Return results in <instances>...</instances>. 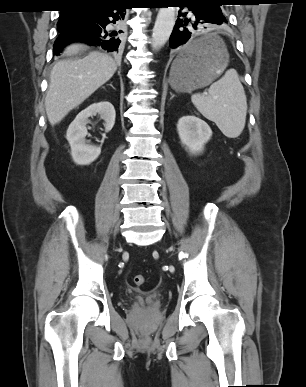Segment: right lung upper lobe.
<instances>
[{
	"label": "right lung upper lobe",
	"mask_w": 306,
	"mask_h": 387,
	"mask_svg": "<svg viewBox=\"0 0 306 387\" xmlns=\"http://www.w3.org/2000/svg\"><path fill=\"white\" fill-rule=\"evenodd\" d=\"M65 7L102 6L117 0H63ZM66 11L62 10L61 12Z\"/></svg>",
	"instance_id": "right-lung-upper-lobe-1"
}]
</instances>
